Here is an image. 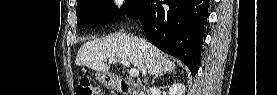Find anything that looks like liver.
Segmentation results:
<instances>
[{
    "label": "liver",
    "instance_id": "1",
    "mask_svg": "<svg viewBox=\"0 0 277 95\" xmlns=\"http://www.w3.org/2000/svg\"><path fill=\"white\" fill-rule=\"evenodd\" d=\"M107 59L128 60L142 75L147 71L150 75L172 72L176 67L151 43L120 32L85 42L78 50L75 64L106 74L110 69L105 63Z\"/></svg>",
    "mask_w": 277,
    "mask_h": 95
}]
</instances>
